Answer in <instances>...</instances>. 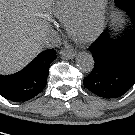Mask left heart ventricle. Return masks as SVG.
<instances>
[{"mask_svg":"<svg viewBox=\"0 0 135 135\" xmlns=\"http://www.w3.org/2000/svg\"><path fill=\"white\" fill-rule=\"evenodd\" d=\"M99 2H100V0H93V6L94 7L98 6ZM92 29H93V21L91 19H88V20L80 23L76 27L75 34L79 38H84L90 34Z\"/></svg>","mask_w":135,"mask_h":135,"instance_id":"left-heart-ventricle-1","label":"left heart ventricle"}]
</instances>
